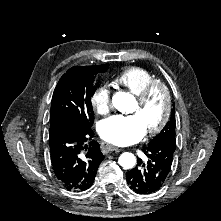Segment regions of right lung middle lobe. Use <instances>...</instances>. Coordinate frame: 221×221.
Returning a JSON list of instances; mask_svg holds the SVG:
<instances>
[{
    "mask_svg": "<svg viewBox=\"0 0 221 221\" xmlns=\"http://www.w3.org/2000/svg\"><path fill=\"white\" fill-rule=\"evenodd\" d=\"M109 65L72 67L60 78L53 96L50 131L73 125L90 127L94 121L91 104L94 78L107 71Z\"/></svg>",
    "mask_w": 221,
    "mask_h": 221,
    "instance_id": "dd1d6c3e",
    "label": "right lung middle lobe"
}]
</instances>
